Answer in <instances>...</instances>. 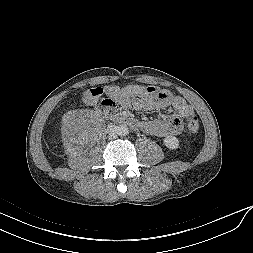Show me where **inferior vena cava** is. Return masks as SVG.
<instances>
[{"instance_id": "obj_1", "label": "inferior vena cava", "mask_w": 253, "mask_h": 253, "mask_svg": "<svg viewBox=\"0 0 253 253\" xmlns=\"http://www.w3.org/2000/svg\"><path fill=\"white\" fill-rule=\"evenodd\" d=\"M108 133L111 138H114L116 136V133L113 128H108Z\"/></svg>"}]
</instances>
